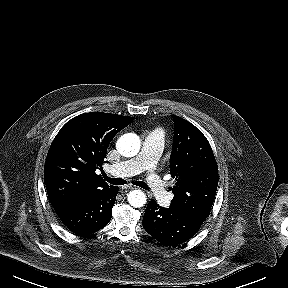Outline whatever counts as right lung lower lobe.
I'll return each instance as SVG.
<instances>
[{
  "label": "right lung lower lobe",
  "instance_id": "obj_1",
  "mask_svg": "<svg viewBox=\"0 0 288 288\" xmlns=\"http://www.w3.org/2000/svg\"><path fill=\"white\" fill-rule=\"evenodd\" d=\"M118 191V187L111 186L91 196L53 208L67 228L77 235L86 236L109 223Z\"/></svg>",
  "mask_w": 288,
  "mask_h": 288
}]
</instances>
